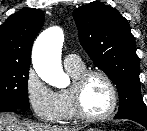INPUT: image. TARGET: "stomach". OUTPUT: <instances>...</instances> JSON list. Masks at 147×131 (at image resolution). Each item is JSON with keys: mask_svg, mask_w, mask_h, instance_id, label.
<instances>
[{"mask_svg": "<svg viewBox=\"0 0 147 131\" xmlns=\"http://www.w3.org/2000/svg\"><path fill=\"white\" fill-rule=\"evenodd\" d=\"M85 131H100V129H98V128H89V129H86Z\"/></svg>", "mask_w": 147, "mask_h": 131, "instance_id": "0dacf381", "label": "stomach"}]
</instances>
